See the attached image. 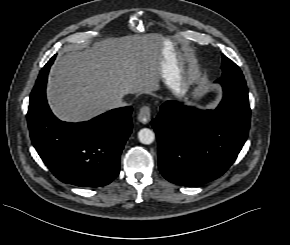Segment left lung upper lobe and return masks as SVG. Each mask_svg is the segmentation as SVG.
<instances>
[{"mask_svg":"<svg viewBox=\"0 0 290 245\" xmlns=\"http://www.w3.org/2000/svg\"><path fill=\"white\" fill-rule=\"evenodd\" d=\"M222 70L223 74L222 76H243L240 68L229 58H227L225 55H223L222 60Z\"/></svg>","mask_w":290,"mask_h":245,"instance_id":"obj_1","label":"left lung upper lobe"}]
</instances>
